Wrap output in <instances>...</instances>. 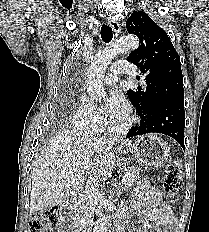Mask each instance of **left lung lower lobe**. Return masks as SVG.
Listing matches in <instances>:
<instances>
[{"instance_id": "1", "label": "left lung lower lobe", "mask_w": 209, "mask_h": 232, "mask_svg": "<svg viewBox=\"0 0 209 232\" xmlns=\"http://www.w3.org/2000/svg\"><path fill=\"white\" fill-rule=\"evenodd\" d=\"M140 125L132 127L126 138L146 133H161L175 139L183 149L185 111L184 102L156 106L140 116Z\"/></svg>"}]
</instances>
